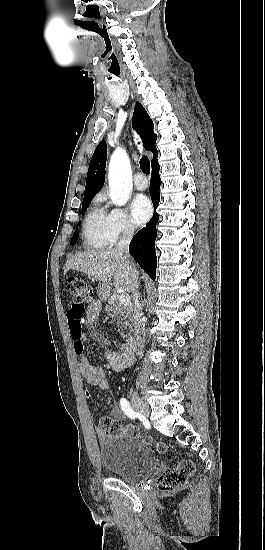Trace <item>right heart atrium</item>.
I'll list each match as a JSON object with an SVG mask.
<instances>
[{
    "label": "right heart atrium",
    "instance_id": "d8ad5b80",
    "mask_svg": "<svg viewBox=\"0 0 265 550\" xmlns=\"http://www.w3.org/2000/svg\"><path fill=\"white\" fill-rule=\"evenodd\" d=\"M108 224L113 241L119 238L131 237L135 233V227L129 216L122 208H112L108 213Z\"/></svg>",
    "mask_w": 265,
    "mask_h": 550
}]
</instances>
